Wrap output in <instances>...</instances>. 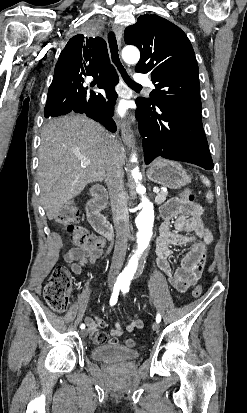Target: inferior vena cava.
I'll return each mask as SVG.
<instances>
[{"label":"inferior vena cava","mask_w":247,"mask_h":413,"mask_svg":"<svg viewBox=\"0 0 247 413\" xmlns=\"http://www.w3.org/2000/svg\"><path fill=\"white\" fill-rule=\"evenodd\" d=\"M110 140L112 146H109L108 144L111 154L109 160L106 162L105 180L109 188L114 227L116 229V245L108 281H110V283H115L125 259L127 241L128 237H130V229L127 207L128 194L124 188V170L119 158L122 144L114 134H110Z\"/></svg>","instance_id":"inferior-vena-cava-1"}]
</instances>
